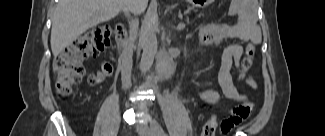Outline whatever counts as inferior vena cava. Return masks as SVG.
Returning <instances> with one entry per match:
<instances>
[{
	"label": "inferior vena cava",
	"instance_id": "1",
	"mask_svg": "<svg viewBox=\"0 0 325 136\" xmlns=\"http://www.w3.org/2000/svg\"><path fill=\"white\" fill-rule=\"evenodd\" d=\"M137 0H124L122 10L125 13L129 11L132 13H136L137 8ZM136 20H131L130 30H134L136 27ZM131 70H132V44L130 41H127L124 46L123 57H122V70H121V78L122 85L124 88H129L131 86Z\"/></svg>",
	"mask_w": 325,
	"mask_h": 136
}]
</instances>
